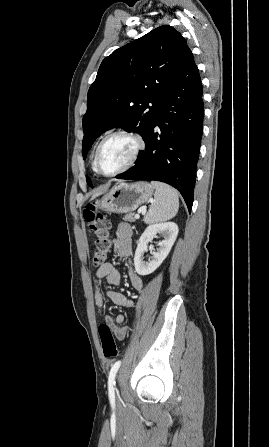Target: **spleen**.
Masks as SVG:
<instances>
[{"mask_svg":"<svg viewBox=\"0 0 269 447\" xmlns=\"http://www.w3.org/2000/svg\"><path fill=\"white\" fill-rule=\"evenodd\" d=\"M155 186L154 204H151L146 216H144L145 224H158V222H166L176 216L179 210L178 192L162 184V182H151Z\"/></svg>","mask_w":269,"mask_h":447,"instance_id":"3e777b00","label":"spleen"}]
</instances>
